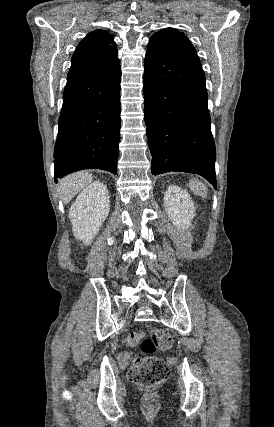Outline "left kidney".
Listing matches in <instances>:
<instances>
[{"label": "left kidney", "mask_w": 274, "mask_h": 427, "mask_svg": "<svg viewBox=\"0 0 274 427\" xmlns=\"http://www.w3.org/2000/svg\"><path fill=\"white\" fill-rule=\"evenodd\" d=\"M163 206L177 229H188L195 215L194 202L188 192L178 186H169L164 194Z\"/></svg>", "instance_id": "1"}]
</instances>
